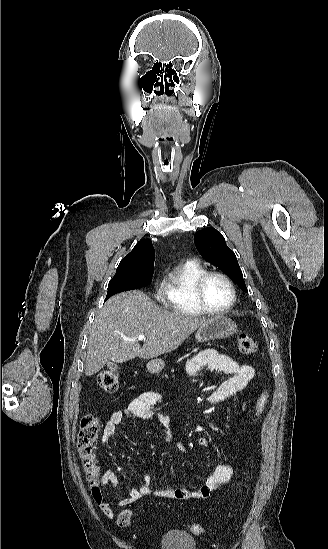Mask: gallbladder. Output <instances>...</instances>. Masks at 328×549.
<instances>
[{
    "mask_svg": "<svg viewBox=\"0 0 328 549\" xmlns=\"http://www.w3.org/2000/svg\"><path fill=\"white\" fill-rule=\"evenodd\" d=\"M108 369H111V371H117L119 369V365L117 363H107Z\"/></svg>",
    "mask_w": 328,
    "mask_h": 549,
    "instance_id": "1",
    "label": "gallbladder"
}]
</instances>
